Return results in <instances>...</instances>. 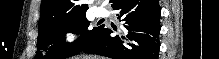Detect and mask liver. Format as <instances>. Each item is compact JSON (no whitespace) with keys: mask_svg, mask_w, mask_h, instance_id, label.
Wrapping results in <instances>:
<instances>
[{"mask_svg":"<svg viewBox=\"0 0 219 59\" xmlns=\"http://www.w3.org/2000/svg\"><path fill=\"white\" fill-rule=\"evenodd\" d=\"M75 59H105V58L99 56H81V57H75Z\"/></svg>","mask_w":219,"mask_h":59,"instance_id":"6515ba94","label":"liver"}]
</instances>
